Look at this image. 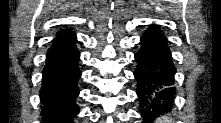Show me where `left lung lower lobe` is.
<instances>
[{
    "mask_svg": "<svg viewBox=\"0 0 221 123\" xmlns=\"http://www.w3.org/2000/svg\"><path fill=\"white\" fill-rule=\"evenodd\" d=\"M140 50L135 54L137 95L144 121L153 120L169 110L175 97L174 74L168 41L158 26L152 25L140 39Z\"/></svg>",
    "mask_w": 221,
    "mask_h": 123,
    "instance_id": "0a47b994",
    "label": "left lung lower lobe"
}]
</instances>
